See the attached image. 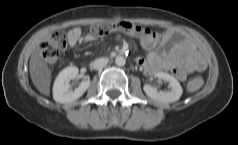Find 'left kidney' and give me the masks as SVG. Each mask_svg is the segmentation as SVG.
Instances as JSON below:
<instances>
[{"label":"left kidney","mask_w":238,"mask_h":145,"mask_svg":"<svg viewBox=\"0 0 238 145\" xmlns=\"http://www.w3.org/2000/svg\"><path fill=\"white\" fill-rule=\"evenodd\" d=\"M154 76L167 81L171 90L157 91V89L151 85L145 84L143 90L147 96L162 103H172L179 100L183 90L177 79L165 72H157Z\"/></svg>","instance_id":"5707ae66"}]
</instances>
